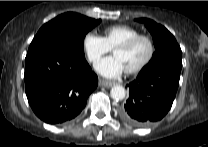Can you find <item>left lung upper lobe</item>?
I'll return each instance as SVG.
<instances>
[{
    "label": "left lung upper lobe",
    "instance_id": "left-lung-upper-lobe-1",
    "mask_svg": "<svg viewBox=\"0 0 208 147\" xmlns=\"http://www.w3.org/2000/svg\"><path fill=\"white\" fill-rule=\"evenodd\" d=\"M153 37L155 52L150 62L141 70L146 71L163 63H171L182 68V51L174 36L162 25L148 18H139Z\"/></svg>",
    "mask_w": 208,
    "mask_h": 147
}]
</instances>
